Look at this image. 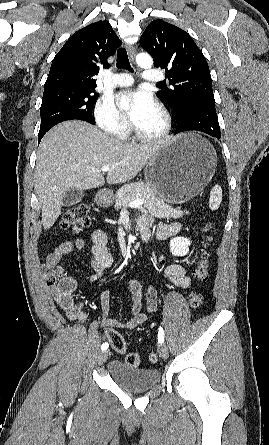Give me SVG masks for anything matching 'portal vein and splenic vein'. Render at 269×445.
I'll list each match as a JSON object with an SVG mask.
<instances>
[{
	"instance_id": "1",
	"label": "portal vein and splenic vein",
	"mask_w": 269,
	"mask_h": 445,
	"mask_svg": "<svg viewBox=\"0 0 269 445\" xmlns=\"http://www.w3.org/2000/svg\"><path fill=\"white\" fill-rule=\"evenodd\" d=\"M109 170H110L109 166H102L100 171L105 173V172H108ZM144 202H145L144 199H136V200L130 202L128 206L131 208H136V207L143 205Z\"/></svg>"
}]
</instances>
